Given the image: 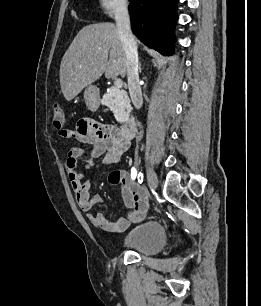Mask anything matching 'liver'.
Wrapping results in <instances>:
<instances>
[{
    "mask_svg": "<svg viewBox=\"0 0 261 306\" xmlns=\"http://www.w3.org/2000/svg\"><path fill=\"white\" fill-rule=\"evenodd\" d=\"M105 73L107 78L127 73V59L117 28L112 23L83 27L60 64V85L67 101Z\"/></svg>",
    "mask_w": 261,
    "mask_h": 306,
    "instance_id": "obj_1",
    "label": "liver"
}]
</instances>
